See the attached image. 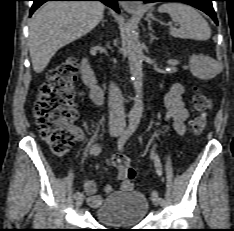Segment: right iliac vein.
<instances>
[{
	"label": "right iliac vein",
	"instance_id": "63e3f726",
	"mask_svg": "<svg viewBox=\"0 0 234 231\" xmlns=\"http://www.w3.org/2000/svg\"><path fill=\"white\" fill-rule=\"evenodd\" d=\"M110 134L112 136H117L119 134V130L116 128H113L110 130ZM84 197L83 195H80L78 198H76V207L79 208L83 204Z\"/></svg>",
	"mask_w": 234,
	"mask_h": 231
}]
</instances>
